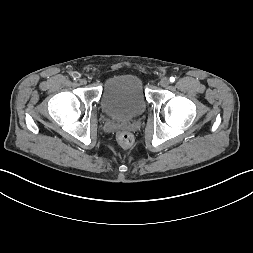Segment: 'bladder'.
Returning a JSON list of instances; mask_svg holds the SVG:
<instances>
[{
	"instance_id": "obj_1",
	"label": "bladder",
	"mask_w": 253,
	"mask_h": 253,
	"mask_svg": "<svg viewBox=\"0 0 253 253\" xmlns=\"http://www.w3.org/2000/svg\"><path fill=\"white\" fill-rule=\"evenodd\" d=\"M146 107L147 99L143 84L137 75H115L102 87L100 108L112 119L131 120L142 114Z\"/></svg>"
}]
</instances>
